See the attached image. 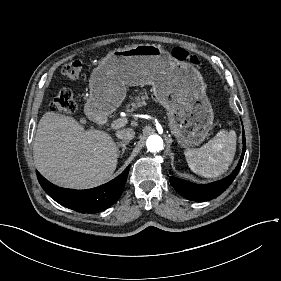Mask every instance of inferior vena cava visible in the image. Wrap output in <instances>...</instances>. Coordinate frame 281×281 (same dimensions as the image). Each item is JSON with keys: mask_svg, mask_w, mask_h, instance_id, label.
<instances>
[{"mask_svg": "<svg viewBox=\"0 0 281 281\" xmlns=\"http://www.w3.org/2000/svg\"><path fill=\"white\" fill-rule=\"evenodd\" d=\"M116 136L124 141L132 140L135 136V131L131 128L122 129L116 132Z\"/></svg>", "mask_w": 281, "mask_h": 281, "instance_id": "602c4592", "label": "inferior vena cava"}]
</instances>
